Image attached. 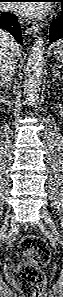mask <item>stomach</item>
<instances>
[{
  "mask_svg": "<svg viewBox=\"0 0 63 297\" xmlns=\"http://www.w3.org/2000/svg\"><path fill=\"white\" fill-rule=\"evenodd\" d=\"M53 54L59 61H63V41H59L54 45Z\"/></svg>",
  "mask_w": 63,
  "mask_h": 297,
  "instance_id": "0dacf381",
  "label": "stomach"
}]
</instances>
